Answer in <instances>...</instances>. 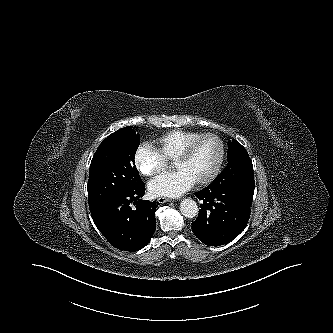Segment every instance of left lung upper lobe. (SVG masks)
<instances>
[{
	"mask_svg": "<svg viewBox=\"0 0 333 333\" xmlns=\"http://www.w3.org/2000/svg\"><path fill=\"white\" fill-rule=\"evenodd\" d=\"M228 164L218 177L229 176L236 189L247 194L254 193V174L252 161L246 149L236 140L228 142Z\"/></svg>",
	"mask_w": 333,
	"mask_h": 333,
	"instance_id": "1",
	"label": "left lung upper lobe"
}]
</instances>
